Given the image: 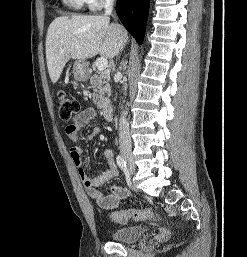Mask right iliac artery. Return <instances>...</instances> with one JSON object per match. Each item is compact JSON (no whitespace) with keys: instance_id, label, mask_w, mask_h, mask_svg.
Instances as JSON below:
<instances>
[{"instance_id":"1","label":"right iliac artery","mask_w":247,"mask_h":257,"mask_svg":"<svg viewBox=\"0 0 247 257\" xmlns=\"http://www.w3.org/2000/svg\"><path fill=\"white\" fill-rule=\"evenodd\" d=\"M116 162H117V165L120 167L121 170L126 171V162L121 155H118L116 157Z\"/></svg>"}]
</instances>
